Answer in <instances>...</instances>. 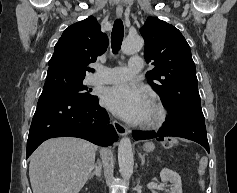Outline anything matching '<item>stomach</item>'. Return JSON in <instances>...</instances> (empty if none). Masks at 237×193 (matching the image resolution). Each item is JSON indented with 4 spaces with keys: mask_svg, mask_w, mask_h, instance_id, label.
I'll list each match as a JSON object with an SVG mask.
<instances>
[{
    "mask_svg": "<svg viewBox=\"0 0 237 193\" xmlns=\"http://www.w3.org/2000/svg\"><path fill=\"white\" fill-rule=\"evenodd\" d=\"M144 150L147 151V152H151L154 150V144L151 143V142H147L144 144Z\"/></svg>",
    "mask_w": 237,
    "mask_h": 193,
    "instance_id": "0dacf381",
    "label": "stomach"
}]
</instances>
